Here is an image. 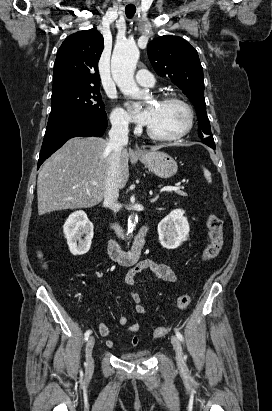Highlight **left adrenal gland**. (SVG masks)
Instances as JSON below:
<instances>
[{"label": "left adrenal gland", "mask_w": 272, "mask_h": 411, "mask_svg": "<svg viewBox=\"0 0 272 411\" xmlns=\"http://www.w3.org/2000/svg\"><path fill=\"white\" fill-rule=\"evenodd\" d=\"M157 199H158V196H156L155 198H153V199L151 200V202L154 203V202L157 201Z\"/></svg>", "instance_id": "obj_1"}]
</instances>
